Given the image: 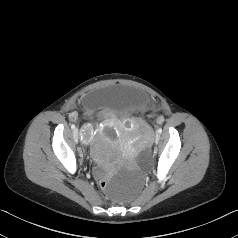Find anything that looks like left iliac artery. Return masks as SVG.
Returning <instances> with one entry per match:
<instances>
[{
    "label": "left iliac artery",
    "instance_id": "44dca946",
    "mask_svg": "<svg viewBox=\"0 0 238 238\" xmlns=\"http://www.w3.org/2000/svg\"><path fill=\"white\" fill-rule=\"evenodd\" d=\"M157 132L161 134V133H162V129L159 128V129L157 130Z\"/></svg>",
    "mask_w": 238,
    "mask_h": 238
}]
</instances>
